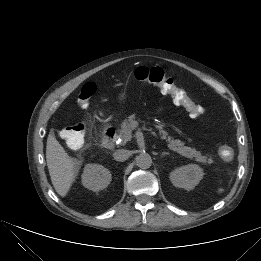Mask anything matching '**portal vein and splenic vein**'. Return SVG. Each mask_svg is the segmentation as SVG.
I'll return each mask as SVG.
<instances>
[{
  "label": "portal vein and splenic vein",
  "instance_id": "portal-vein-and-splenic-vein-1",
  "mask_svg": "<svg viewBox=\"0 0 261 261\" xmlns=\"http://www.w3.org/2000/svg\"><path fill=\"white\" fill-rule=\"evenodd\" d=\"M152 134H153V136H155L157 138V136H156V134L154 132H152Z\"/></svg>",
  "mask_w": 261,
  "mask_h": 261
}]
</instances>
